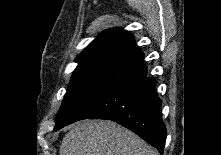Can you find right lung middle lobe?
<instances>
[{
	"label": "right lung middle lobe",
	"instance_id": "obj_1",
	"mask_svg": "<svg viewBox=\"0 0 221 155\" xmlns=\"http://www.w3.org/2000/svg\"><path fill=\"white\" fill-rule=\"evenodd\" d=\"M123 58L118 55H101L75 61L78 66L57 114L55 131L82 119L114 66Z\"/></svg>",
	"mask_w": 221,
	"mask_h": 155
}]
</instances>
